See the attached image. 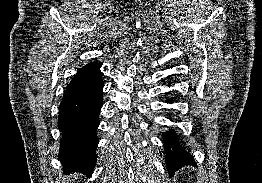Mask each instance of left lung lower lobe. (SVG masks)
Masks as SVG:
<instances>
[{
	"label": "left lung lower lobe",
	"instance_id": "1",
	"mask_svg": "<svg viewBox=\"0 0 262 183\" xmlns=\"http://www.w3.org/2000/svg\"><path fill=\"white\" fill-rule=\"evenodd\" d=\"M169 102L172 101L170 100ZM163 140L167 170L170 176L185 165H195L193 157L179 144L175 131L169 130L165 132Z\"/></svg>",
	"mask_w": 262,
	"mask_h": 183
}]
</instances>
